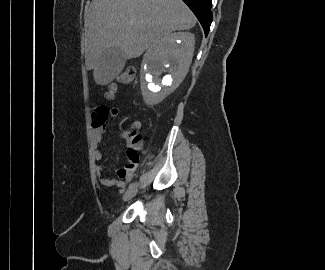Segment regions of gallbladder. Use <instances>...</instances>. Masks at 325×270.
<instances>
[{
    "label": "gallbladder",
    "instance_id": "bac80fb5",
    "mask_svg": "<svg viewBox=\"0 0 325 270\" xmlns=\"http://www.w3.org/2000/svg\"><path fill=\"white\" fill-rule=\"evenodd\" d=\"M125 66V58L117 47L107 49L100 57L97 73H100L107 80L117 77Z\"/></svg>",
    "mask_w": 325,
    "mask_h": 270
}]
</instances>
